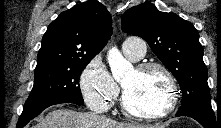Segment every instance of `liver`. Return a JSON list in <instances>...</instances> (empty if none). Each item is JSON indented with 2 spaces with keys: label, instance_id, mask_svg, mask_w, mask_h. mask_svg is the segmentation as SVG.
<instances>
[{
  "label": "liver",
  "instance_id": "liver-1",
  "mask_svg": "<svg viewBox=\"0 0 221 128\" xmlns=\"http://www.w3.org/2000/svg\"><path fill=\"white\" fill-rule=\"evenodd\" d=\"M33 128H165V125L125 124L93 112L57 109L49 112Z\"/></svg>",
  "mask_w": 221,
  "mask_h": 128
}]
</instances>
